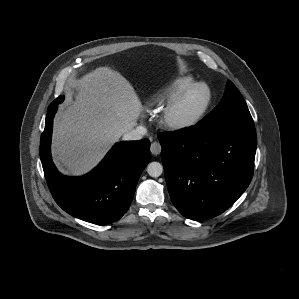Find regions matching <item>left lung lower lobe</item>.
<instances>
[{"mask_svg": "<svg viewBox=\"0 0 299 299\" xmlns=\"http://www.w3.org/2000/svg\"><path fill=\"white\" fill-rule=\"evenodd\" d=\"M168 191L186 218L205 220L227 210L251 182L254 127L211 129L196 124L158 135Z\"/></svg>", "mask_w": 299, "mask_h": 299, "instance_id": "1", "label": "left lung lower lobe"}]
</instances>
